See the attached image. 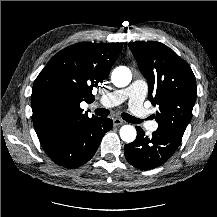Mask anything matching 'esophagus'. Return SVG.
<instances>
[{
    "label": "esophagus",
    "mask_w": 217,
    "mask_h": 217,
    "mask_svg": "<svg viewBox=\"0 0 217 217\" xmlns=\"http://www.w3.org/2000/svg\"><path fill=\"white\" fill-rule=\"evenodd\" d=\"M123 123H124V121L121 120L120 118H114V119H113V124H114V126H120V125H122Z\"/></svg>",
    "instance_id": "esophagus-1"
}]
</instances>
